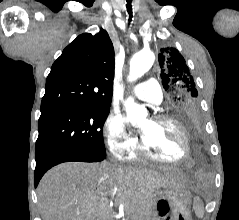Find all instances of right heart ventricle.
<instances>
[{
	"label": "right heart ventricle",
	"instance_id": "e07e8e85",
	"mask_svg": "<svg viewBox=\"0 0 239 220\" xmlns=\"http://www.w3.org/2000/svg\"><path fill=\"white\" fill-rule=\"evenodd\" d=\"M131 157H133V158H134V157H135V154H132V155H131Z\"/></svg>",
	"mask_w": 239,
	"mask_h": 220
}]
</instances>
